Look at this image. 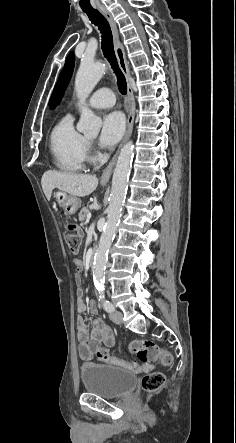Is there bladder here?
Instances as JSON below:
<instances>
[{"mask_svg": "<svg viewBox=\"0 0 236 443\" xmlns=\"http://www.w3.org/2000/svg\"><path fill=\"white\" fill-rule=\"evenodd\" d=\"M81 378L87 393L107 399L125 397L137 380L130 370L91 362L82 365Z\"/></svg>", "mask_w": 236, "mask_h": 443, "instance_id": "bladder-1", "label": "bladder"}]
</instances>
